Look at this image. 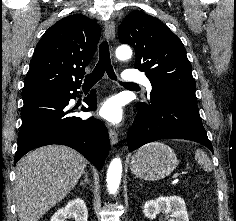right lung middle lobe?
Segmentation results:
<instances>
[{
	"label": "right lung middle lobe",
	"mask_w": 236,
	"mask_h": 221,
	"mask_svg": "<svg viewBox=\"0 0 236 221\" xmlns=\"http://www.w3.org/2000/svg\"><path fill=\"white\" fill-rule=\"evenodd\" d=\"M59 90H45V91H40V92H35V93H30V94H22V98L25 99L27 97L35 96V95H54L58 94Z\"/></svg>",
	"instance_id": "obj_1"
}]
</instances>
